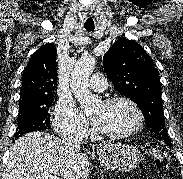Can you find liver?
<instances>
[{
	"instance_id": "6515ba94",
	"label": "liver",
	"mask_w": 183,
	"mask_h": 179,
	"mask_svg": "<svg viewBox=\"0 0 183 179\" xmlns=\"http://www.w3.org/2000/svg\"><path fill=\"white\" fill-rule=\"evenodd\" d=\"M88 157L72 153L46 132L27 133L10 150L3 179H88Z\"/></svg>"
}]
</instances>
